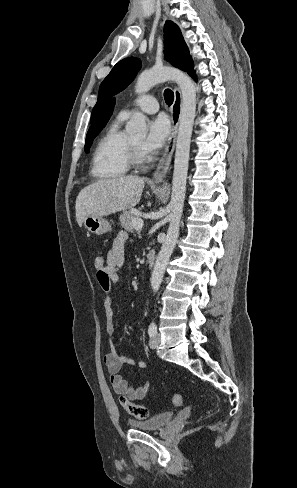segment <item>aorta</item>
<instances>
[{"instance_id": "1", "label": "aorta", "mask_w": 297, "mask_h": 488, "mask_svg": "<svg viewBox=\"0 0 297 488\" xmlns=\"http://www.w3.org/2000/svg\"><path fill=\"white\" fill-rule=\"evenodd\" d=\"M175 81L181 91V112L176 141L172 194L170 200L169 228L161 250L156 258L150 283L153 291H158L163 280L166 266L179 236L180 220L183 213L189 152L194 119L196 116V87L194 82L183 72L170 67H153L141 73L135 86L136 93L147 92L158 83ZM126 131L133 135H143L147 131L146 117L141 112H134L126 125Z\"/></svg>"}]
</instances>
